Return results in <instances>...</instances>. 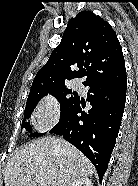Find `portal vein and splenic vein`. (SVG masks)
Returning a JSON list of instances; mask_svg holds the SVG:
<instances>
[{
    "instance_id": "18ae733b",
    "label": "portal vein and splenic vein",
    "mask_w": 138,
    "mask_h": 186,
    "mask_svg": "<svg viewBox=\"0 0 138 186\" xmlns=\"http://www.w3.org/2000/svg\"><path fill=\"white\" fill-rule=\"evenodd\" d=\"M39 183V186H46V183L40 180H36Z\"/></svg>"
}]
</instances>
